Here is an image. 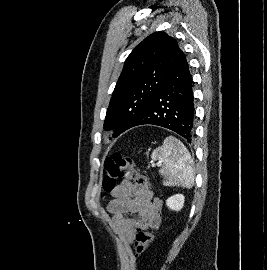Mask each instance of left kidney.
I'll list each match as a JSON object with an SVG mask.
<instances>
[{"mask_svg":"<svg viewBox=\"0 0 267 270\" xmlns=\"http://www.w3.org/2000/svg\"><path fill=\"white\" fill-rule=\"evenodd\" d=\"M185 197L182 194H176L166 200V205L174 211H179L184 206Z\"/></svg>","mask_w":267,"mask_h":270,"instance_id":"5707ae66","label":"left kidney"}]
</instances>
